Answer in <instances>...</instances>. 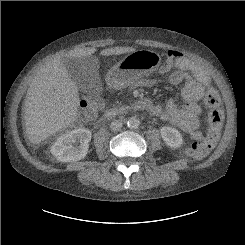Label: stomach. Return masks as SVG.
<instances>
[{"label":"stomach","mask_w":245,"mask_h":245,"mask_svg":"<svg viewBox=\"0 0 245 245\" xmlns=\"http://www.w3.org/2000/svg\"><path fill=\"white\" fill-rule=\"evenodd\" d=\"M161 64L158 53L136 50L126 55L108 72V82L115 88H125L139 78L153 73Z\"/></svg>","instance_id":"obj_1"}]
</instances>
